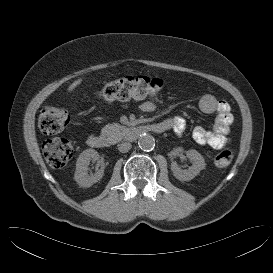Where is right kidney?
Returning a JSON list of instances; mask_svg holds the SVG:
<instances>
[{
  "mask_svg": "<svg viewBox=\"0 0 273 273\" xmlns=\"http://www.w3.org/2000/svg\"><path fill=\"white\" fill-rule=\"evenodd\" d=\"M97 161L101 166L94 175L88 174V166L90 161ZM104 174L103 160L100 158L98 152L94 149L84 150L78 157L76 162V171L74 175L75 181L83 187H90L98 182Z\"/></svg>",
  "mask_w": 273,
  "mask_h": 273,
  "instance_id": "ca27d5eb",
  "label": "right kidney"
}]
</instances>
